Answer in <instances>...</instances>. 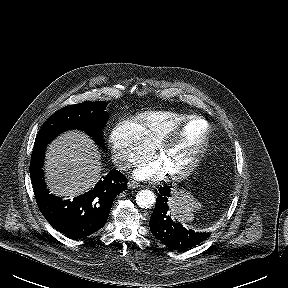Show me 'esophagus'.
I'll return each mask as SVG.
<instances>
[{
	"label": "esophagus",
	"mask_w": 288,
	"mask_h": 288,
	"mask_svg": "<svg viewBox=\"0 0 288 288\" xmlns=\"http://www.w3.org/2000/svg\"><path fill=\"white\" fill-rule=\"evenodd\" d=\"M128 187H129L130 189H137V188L140 187V185H139L138 183H136V182L129 181V182H128Z\"/></svg>",
	"instance_id": "1"
}]
</instances>
